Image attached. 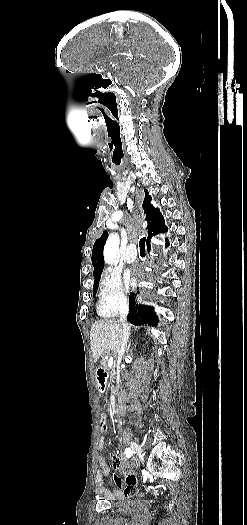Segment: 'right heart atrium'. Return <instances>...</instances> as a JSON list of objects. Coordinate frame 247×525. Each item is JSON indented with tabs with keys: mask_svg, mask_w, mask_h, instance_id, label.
Masks as SVG:
<instances>
[{
	"mask_svg": "<svg viewBox=\"0 0 247 525\" xmlns=\"http://www.w3.org/2000/svg\"><path fill=\"white\" fill-rule=\"evenodd\" d=\"M127 305L120 273L113 267H107L100 276L98 289V311L103 316L119 314Z\"/></svg>",
	"mask_w": 247,
	"mask_h": 525,
	"instance_id": "right-heart-atrium-1",
	"label": "right heart atrium"
}]
</instances>
